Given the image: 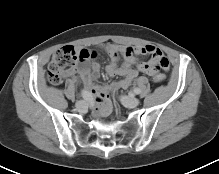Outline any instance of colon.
Wrapping results in <instances>:
<instances>
[{
  "instance_id": "5ec220e1",
  "label": "colon",
  "mask_w": 219,
  "mask_h": 174,
  "mask_svg": "<svg viewBox=\"0 0 219 174\" xmlns=\"http://www.w3.org/2000/svg\"><path fill=\"white\" fill-rule=\"evenodd\" d=\"M94 54L78 53L72 47H63L58 49L52 56L48 66V80L52 84H58L62 79L72 73L82 58L91 57ZM156 84H162L165 81V75L159 73L153 77Z\"/></svg>"
}]
</instances>
